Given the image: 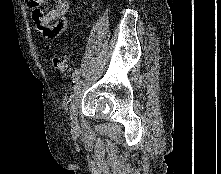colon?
<instances>
[{
  "label": "colon",
  "instance_id": "5ec220e1",
  "mask_svg": "<svg viewBox=\"0 0 221 174\" xmlns=\"http://www.w3.org/2000/svg\"><path fill=\"white\" fill-rule=\"evenodd\" d=\"M49 63L52 67L62 72H68L71 69L70 62L64 56L53 54L49 56Z\"/></svg>",
  "mask_w": 221,
  "mask_h": 174
}]
</instances>
